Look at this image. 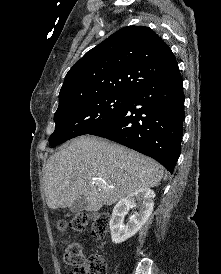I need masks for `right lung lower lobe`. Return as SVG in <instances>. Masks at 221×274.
<instances>
[{
    "instance_id": "98d812e1",
    "label": "right lung lower lobe",
    "mask_w": 221,
    "mask_h": 274,
    "mask_svg": "<svg viewBox=\"0 0 221 274\" xmlns=\"http://www.w3.org/2000/svg\"><path fill=\"white\" fill-rule=\"evenodd\" d=\"M183 121V81L176 64L137 90L107 123L89 134L150 156L172 173L180 155Z\"/></svg>"
}]
</instances>
